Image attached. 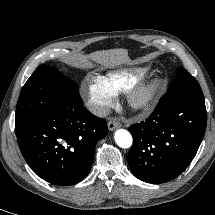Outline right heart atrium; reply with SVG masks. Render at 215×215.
<instances>
[{
	"label": "right heart atrium",
	"mask_w": 215,
	"mask_h": 215,
	"mask_svg": "<svg viewBox=\"0 0 215 215\" xmlns=\"http://www.w3.org/2000/svg\"><path fill=\"white\" fill-rule=\"evenodd\" d=\"M82 89L87 108L96 116H104L115 103V94L98 76L86 78Z\"/></svg>",
	"instance_id": "d8ad5b80"
}]
</instances>
